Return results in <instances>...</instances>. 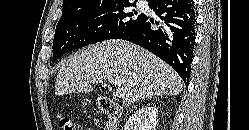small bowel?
I'll use <instances>...</instances> for the list:
<instances>
[{"label":"small bowel","mask_w":249,"mask_h":130,"mask_svg":"<svg viewBox=\"0 0 249 130\" xmlns=\"http://www.w3.org/2000/svg\"><path fill=\"white\" fill-rule=\"evenodd\" d=\"M87 130H93V129H91V128H88Z\"/></svg>","instance_id":"small-bowel-1"}]
</instances>
